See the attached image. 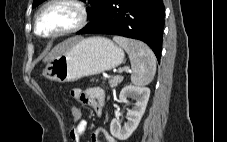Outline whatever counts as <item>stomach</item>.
Returning <instances> with one entry per match:
<instances>
[{
    "instance_id": "0dacf381",
    "label": "stomach",
    "mask_w": 227,
    "mask_h": 142,
    "mask_svg": "<svg viewBox=\"0 0 227 142\" xmlns=\"http://www.w3.org/2000/svg\"><path fill=\"white\" fill-rule=\"evenodd\" d=\"M124 51L111 40L94 36L73 43L65 52L48 63L43 75L60 83L100 74L119 66Z\"/></svg>"
}]
</instances>
